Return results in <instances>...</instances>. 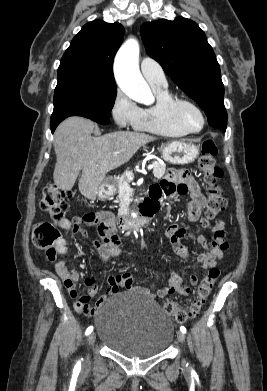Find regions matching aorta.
<instances>
[{"label": "aorta", "mask_w": 267, "mask_h": 391, "mask_svg": "<svg viewBox=\"0 0 267 391\" xmlns=\"http://www.w3.org/2000/svg\"><path fill=\"white\" fill-rule=\"evenodd\" d=\"M139 52L138 41L128 39L117 52L114 70L120 89L129 98L145 104L152 99V92L139 70Z\"/></svg>", "instance_id": "1"}]
</instances>
